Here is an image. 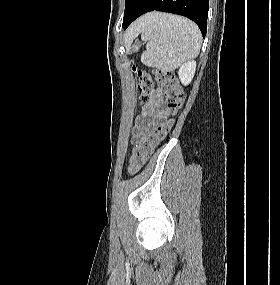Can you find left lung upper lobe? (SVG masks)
Segmentation results:
<instances>
[{
    "label": "left lung upper lobe",
    "mask_w": 280,
    "mask_h": 285,
    "mask_svg": "<svg viewBox=\"0 0 280 285\" xmlns=\"http://www.w3.org/2000/svg\"><path fill=\"white\" fill-rule=\"evenodd\" d=\"M137 0H126L125 5V11H124V18L123 21L126 19V17L130 14L131 10L133 9L135 3Z\"/></svg>",
    "instance_id": "left-lung-upper-lobe-1"
}]
</instances>
